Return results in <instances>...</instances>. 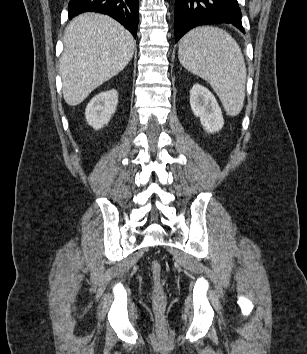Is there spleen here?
<instances>
[{
	"instance_id": "1",
	"label": "spleen",
	"mask_w": 307,
	"mask_h": 354,
	"mask_svg": "<svg viewBox=\"0 0 307 354\" xmlns=\"http://www.w3.org/2000/svg\"><path fill=\"white\" fill-rule=\"evenodd\" d=\"M182 66L206 80L230 116L244 105L246 65L237 42L223 29L197 27L179 41Z\"/></svg>"
}]
</instances>
